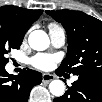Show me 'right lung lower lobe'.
<instances>
[{
	"mask_svg": "<svg viewBox=\"0 0 102 102\" xmlns=\"http://www.w3.org/2000/svg\"><path fill=\"white\" fill-rule=\"evenodd\" d=\"M41 81V73L28 68L17 76L9 75L5 68H0V99L5 102H27L30 90Z\"/></svg>",
	"mask_w": 102,
	"mask_h": 102,
	"instance_id": "obj_1",
	"label": "right lung lower lobe"
}]
</instances>
